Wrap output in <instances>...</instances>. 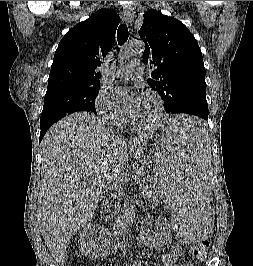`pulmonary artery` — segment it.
Instances as JSON below:
<instances>
[{
  "instance_id": "obj_1",
  "label": "pulmonary artery",
  "mask_w": 253,
  "mask_h": 266,
  "mask_svg": "<svg viewBox=\"0 0 253 266\" xmlns=\"http://www.w3.org/2000/svg\"><path fill=\"white\" fill-rule=\"evenodd\" d=\"M143 71V64L139 60H134L120 68L117 74L123 79H136L143 73Z\"/></svg>"
}]
</instances>
